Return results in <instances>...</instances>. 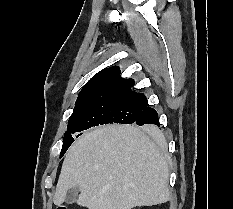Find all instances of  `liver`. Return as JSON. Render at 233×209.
Returning <instances> with one entry per match:
<instances>
[{"mask_svg": "<svg viewBox=\"0 0 233 209\" xmlns=\"http://www.w3.org/2000/svg\"><path fill=\"white\" fill-rule=\"evenodd\" d=\"M158 134L156 127L147 129ZM168 163L139 128L106 125L84 133L66 153L53 202L78 187L76 203L88 209H132L170 199Z\"/></svg>", "mask_w": 233, "mask_h": 209, "instance_id": "1", "label": "liver"}]
</instances>
